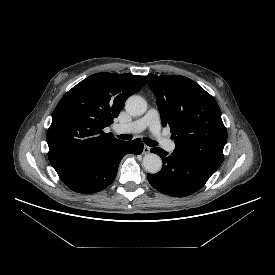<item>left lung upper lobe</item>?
<instances>
[{
	"label": "left lung upper lobe",
	"instance_id": "5c2ea615",
	"mask_svg": "<svg viewBox=\"0 0 275 275\" xmlns=\"http://www.w3.org/2000/svg\"><path fill=\"white\" fill-rule=\"evenodd\" d=\"M163 126H169L174 152L211 172L223 161L227 131L215 99L193 80L179 75H148Z\"/></svg>",
	"mask_w": 275,
	"mask_h": 275
}]
</instances>
